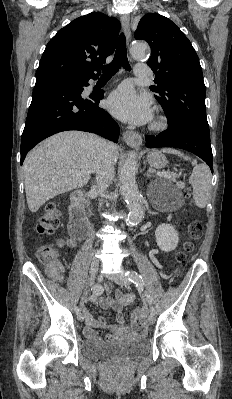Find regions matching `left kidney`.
Instances as JSON below:
<instances>
[{"label": "left kidney", "instance_id": "obj_1", "mask_svg": "<svg viewBox=\"0 0 232 399\" xmlns=\"http://www.w3.org/2000/svg\"><path fill=\"white\" fill-rule=\"evenodd\" d=\"M155 237L160 249H163V251H172V249L177 247L179 233H177L174 225H171V223H161V225L156 227Z\"/></svg>", "mask_w": 232, "mask_h": 399}]
</instances>
